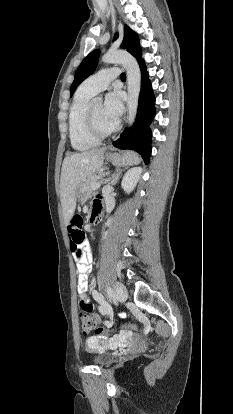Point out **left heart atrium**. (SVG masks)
Segmentation results:
<instances>
[{"label": "left heart atrium", "mask_w": 233, "mask_h": 414, "mask_svg": "<svg viewBox=\"0 0 233 414\" xmlns=\"http://www.w3.org/2000/svg\"><path fill=\"white\" fill-rule=\"evenodd\" d=\"M105 116L113 123H118L122 113L123 104L118 92H110L107 94L103 106Z\"/></svg>", "instance_id": "left-heart-atrium-1"}]
</instances>
